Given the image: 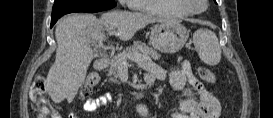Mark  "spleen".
<instances>
[{
  "label": "spleen",
  "instance_id": "spleen-1",
  "mask_svg": "<svg viewBox=\"0 0 273 118\" xmlns=\"http://www.w3.org/2000/svg\"><path fill=\"white\" fill-rule=\"evenodd\" d=\"M194 46L200 59L207 65H217L221 60V48L214 32L199 29L193 35Z\"/></svg>",
  "mask_w": 273,
  "mask_h": 118
}]
</instances>
